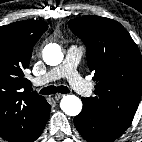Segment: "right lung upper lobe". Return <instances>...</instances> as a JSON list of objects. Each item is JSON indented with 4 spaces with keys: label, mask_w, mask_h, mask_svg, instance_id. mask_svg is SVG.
I'll use <instances>...</instances> for the list:
<instances>
[{
    "label": "right lung upper lobe",
    "mask_w": 142,
    "mask_h": 142,
    "mask_svg": "<svg viewBox=\"0 0 142 142\" xmlns=\"http://www.w3.org/2000/svg\"><path fill=\"white\" fill-rule=\"evenodd\" d=\"M47 28L40 20L0 27V135L9 142H26L50 107L43 96L31 92L24 77L33 46Z\"/></svg>",
    "instance_id": "1"
}]
</instances>
